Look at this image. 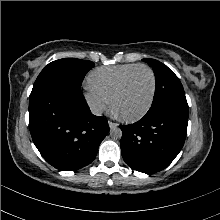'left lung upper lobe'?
Masks as SVG:
<instances>
[{
  "mask_svg": "<svg viewBox=\"0 0 220 220\" xmlns=\"http://www.w3.org/2000/svg\"><path fill=\"white\" fill-rule=\"evenodd\" d=\"M143 61L153 67L156 78L154 99L148 112L173 109L188 115L189 108L179 78L166 65L155 59L145 58Z\"/></svg>",
  "mask_w": 220,
  "mask_h": 220,
  "instance_id": "obj_1",
  "label": "left lung upper lobe"
}]
</instances>
